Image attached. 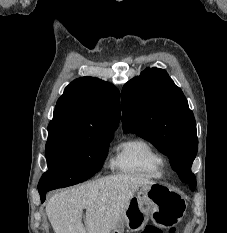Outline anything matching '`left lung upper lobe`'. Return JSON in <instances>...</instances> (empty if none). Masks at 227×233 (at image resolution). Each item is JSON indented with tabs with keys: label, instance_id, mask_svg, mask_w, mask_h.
<instances>
[{
	"label": "left lung upper lobe",
	"instance_id": "left-lung-upper-lobe-1",
	"mask_svg": "<svg viewBox=\"0 0 227 233\" xmlns=\"http://www.w3.org/2000/svg\"><path fill=\"white\" fill-rule=\"evenodd\" d=\"M122 111L123 129L135 131L167 155L173 170L193 191L196 122L183 92L167 72L152 68L128 81L122 89Z\"/></svg>",
	"mask_w": 227,
	"mask_h": 233
}]
</instances>
